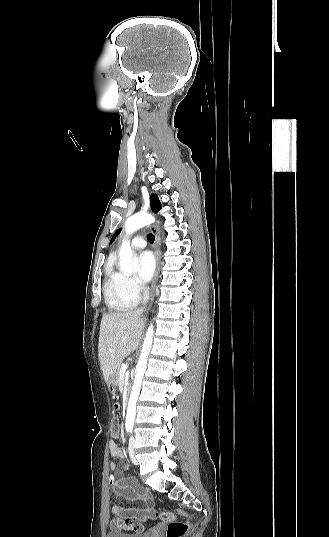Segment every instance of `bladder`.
<instances>
[{"instance_id":"31cf9c89","label":"bladder","mask_w":329,"mask_h":537,"mask_svg":"<svg viewBox=\"0 0 329 537\" xmlns=\"http://www.w3.org/2000/svg\"><path fill=\"white\" fill-rule=\"evenodd\" d=\"M154 530L141 534H126L120 531H110L107 533V537H154Z\"/></svg>"}]
</instances>
